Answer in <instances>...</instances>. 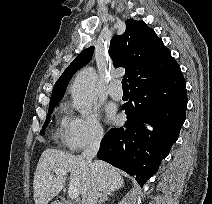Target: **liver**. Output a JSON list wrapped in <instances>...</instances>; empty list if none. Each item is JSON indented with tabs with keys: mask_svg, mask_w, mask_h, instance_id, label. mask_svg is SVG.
<instances>
[{
	"mask_svg": "<svg viewBox=\"0 0 212 204\" xmlns=\"http://www.w3.org/2000/svg\"><path fill=\"white\" fill-rule=\"evenodd\" d=\"M55 169L70 173L69 188L78 189L81 196L91 184L102 193H112L124 186L120 171L110 164L96 160L89 165L80 155L48 148L43 151L34 173L35 204H48L61 192L66 178L63 175H52Z\"/></svg>",
	"mask_w": 212,
	"mask_h": 204,
	"instance_id": "liver-1",
	"label": "liver"
}]
</instances>
